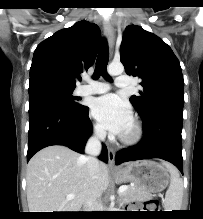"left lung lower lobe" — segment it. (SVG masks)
<instances>
[{
    "mask_svg": "<svg viewBox=\"0 0 203 219\" xmlns=\"http://www.w3.org/2000/svg\"><path fill=\"white\" fill-rule=\"evenodd\" d=\"M183 109H161L143 120V138L136 146L119 151L116 164L141 159L161 158L174 164L183 174Z\"/></svg>",
    "mask_w": 203,
    "mask_h": 219,
    "instance_id": "1",
    "label": "left lung lower lobe"
}]
</instances>
